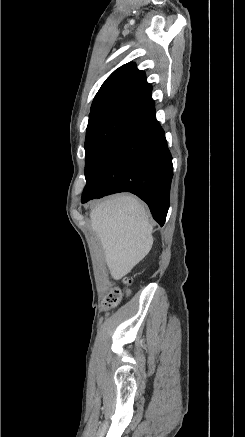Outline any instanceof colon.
I'll list each match as a JSON object with an SVG mask.
<instances>
[{"instance_id":"colon-1","label":"colon","mask_w":245,"mask_h":437,"mask_svg":"<svg viewBox=\"0 0 245 437\" xmlns=\"http://www.w3.org/2000/svg\"><path fill=\"white\" fill-rule=\"evenodd\" d=\"M120 298H121L120 291L114 290V291L110 292L108 294V296L106 297L105 306L108 308L115 307L119 303Z\"/></svg>"}]
</instances>
